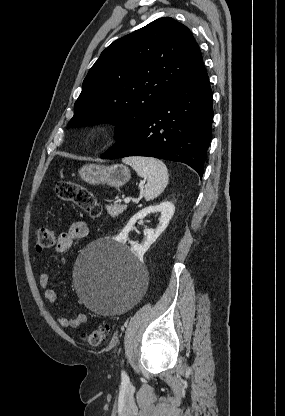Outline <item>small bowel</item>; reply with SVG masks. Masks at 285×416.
I'll return each instance as SVG.
<instances>
[{"mask_svg": "<svg viewBox=\"0 0 285 416\" xmlns=\"http://www.w3.org/2000/svg\"><path fill=\"white\" fill-rule=\"evenodd\" d=\"M90 228L86 221L78 220L71 224L68 231L60 234L57 239L55 251L58 255L67 253L76 240L84 239L89 235ZM50 277L47 273H42L39 277V284L44 289V297L50 303L57 302L58 296L54 289L49 286ZM62 327L77 328L87 322L86 314L82 312L75 313L72 317L60 316L57 319Z\"/></svg>", "mask_w": 285, "mask_h": 416, "instance_id": "obj_1", "label": "small bowel"}]
</instances>
